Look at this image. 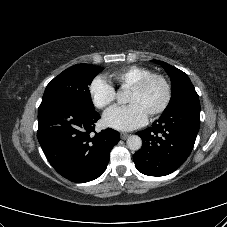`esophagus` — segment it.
I'll return each mask as SVG.
<instances>
[{"instance_id":"34e87169","label":"esophagus","mask_w":227,"mask_h":227,"mask_svg":"<svg viewBox=\"0 0 227 227\" xmlns=\"http://www.w3.org/2000/svg\"><path fill=\"white\" fill-rule=\"evenodd\" d=\"M120 136H121V139L125 140V139H127L129 137V134L121 133Z\"/></svg>"}]
</instances>
